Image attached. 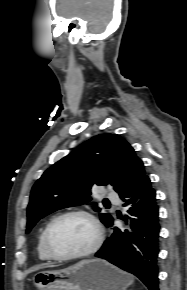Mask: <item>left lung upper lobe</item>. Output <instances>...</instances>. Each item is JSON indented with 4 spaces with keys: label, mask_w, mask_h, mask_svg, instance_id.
I'll list each match as a JSON object with an SVG mask.
<instances>
[{
    "label": "left lung upper lobe",
    "mask_w": 187,
    "mask_h": 290,
    "mask_svg": "<svg viewBox=\"0 0 187 290\" xmlns=\"http://www.w3.org/2000/svg\"><path fill=\"white\" fill-rule=\"evenodd\" d=\"M145 175L144 164L128 142L116 134H99L62 158L35 183L27 208V230L44 216L91 200L93 185L111 184L123 194ZM94 210L99 212L98 207ZM106 226L113 220L101 213Z\"/></svg>",
    "instance_id": "1"
}]
</instances>
